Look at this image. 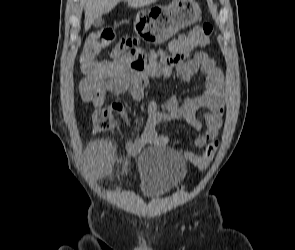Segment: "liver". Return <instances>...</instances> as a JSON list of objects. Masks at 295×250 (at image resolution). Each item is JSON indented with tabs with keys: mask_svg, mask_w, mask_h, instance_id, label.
I'll list each match as a JSON object with an SVG mask.
<instances>
[{
	"mask_svg": "<svg viewBox=\"0 0 295 250\" xmlns=\"http://www.w3.org/2000/svg\"><path fill=\"white\" fill-rule=\"evenodd\" d=\"M122 0H86L85 3V20L84 27L85 31L90 29L94 20L101 17L103 14L109 13L118 3ZM129 6L134 8H141L157 0H125Z\"/></svg>",
	"mask_w": 295,
	"mask_h": 250,
	"instance_id": "1",
	"label": "liver"
}]
</instances>
